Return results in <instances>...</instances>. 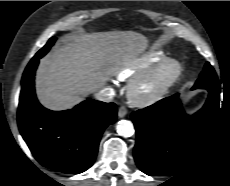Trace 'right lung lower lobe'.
<instances>
[{
	"mask_svg": "<svg viewBox=\"0 0 230 186\" xmlns=\"http://www.w3.org/2000/svg\"><path fill=\"white\" fill-rule=\"evenodd\" d=\"M38 63L32 58L23 73L17 115L20 133L41 165L82 173L92 166L104 129L116 121V105L88 99L66 111L44 108L34 89Z\"/></svg>",
	"mask_w": 230,
	"mask_h": 186,
	"instance_id": "98d812e1",
	"label": "right lung lower lobe"
}]
</instances>
